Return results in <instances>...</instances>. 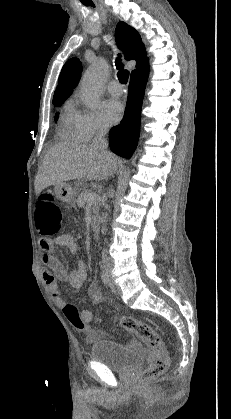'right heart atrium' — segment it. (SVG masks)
<instances>
[{
	"instance_id": "d8ad5b80",
	"label": "right heart atrium",
	"mask_w": 231,
	"mask_h": 419,
	"mask_svg": "<svg viewBox=\"0 0 231 419\" xmlns=\"http://www.w3.org/2000/svg\"><path fill=\"white\" fill-rule=\"evenodd\" d=\"M77 124L80 134L85 141L105 134L108 129L99 112L91 109L78 111Z\"/></svg>"
}]
</instances>
